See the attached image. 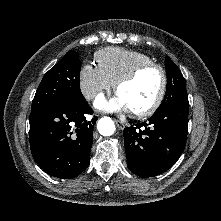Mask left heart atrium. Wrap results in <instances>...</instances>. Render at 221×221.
<instances>
[{
	"label": "left heart atrium",
	"mask_w": 221,
	"mask_h": 221,
	"mask_svg": "<svg viewBox=\"0 0 221 221\" xmlns=\"http://www.w3.org/2000/svg\"><path fill=\"white\" fill-rule=\"evenodd\" d=\"M95 105L97 108L109 112H122L129 110L126 102L119 94L109 99L100 96L96 100Z\"/></svg>",
	"instance_id": "left-heart-atrium-1"
}]
</instances>
